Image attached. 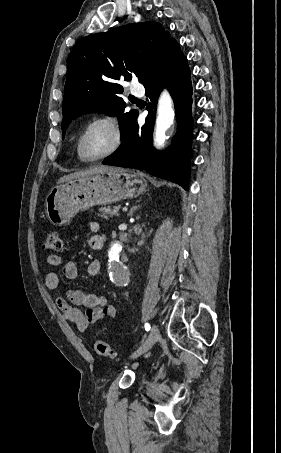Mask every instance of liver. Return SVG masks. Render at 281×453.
<instances>
[{
    "instance_id": "6515ba94",
    "label": "liver",
    "mask_w": 281,
    "mask_h": 453,
    "mask_svg": "<svg viewBox=\"0 0 281 453\" xmlns=\"http://www.w3.org/2000/svg\"><path fill=\"white\" fill-rule=\"evenodd\" d=\"M106 170H114V166H104V164H100V166H94V168H90V170H79V172H71V174H65V176H61V178L57 180V184H59V182H67V180H74V178H85V176L98 174V172H106Z\"/></svg>"
}]
</instances>
